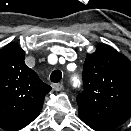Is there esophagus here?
I'll return each instance as SVG.
<instances>
[{"label":"esophagus","mask_w":131,"mask_h":131,"mask_svg":"<svg viewBox=\"0 0 131 131\" xmlns=\"http://www.w3.org/2000/svg\"><path fill=\"white\" fill-rule=\"evenodd\" d=\"M52 88L54 91H61L63 89V85L60 83H54L52 84Z\"/></svg>","instance_id":"esophagus-1"}]
</instances>
